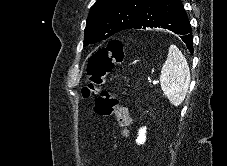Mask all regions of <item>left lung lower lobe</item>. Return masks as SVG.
<instances>
[{
    "mask_svg": "<svg viewBox=\"0 0 227 166\" xmlns=\"http://www.w3.org/2000/svg\"><path fill=\"white\" fill-rule=\"evenodd\" d=\"M168 29L185 42L193 53V36L181 0H147L131 29Z\"/></svg>",
    "mask_w": 227,
    "mask_h": 166,
    "instance_id": "0a47b994",
    "label": "left lung lower lobe"
}]
</instances>
